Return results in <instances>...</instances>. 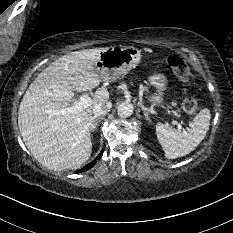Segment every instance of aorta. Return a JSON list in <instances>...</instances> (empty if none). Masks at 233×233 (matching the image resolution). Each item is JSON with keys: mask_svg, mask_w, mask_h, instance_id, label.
I'll use <instances>...</instances> for the list:
<instances>
[{"mask_svg": "<svg viewBox=\"0 0 233 233\" xmlns=\"http://www.w3.org/2000/svg\"><path fill=\"white\" fill-rule=\"evenodd\" d=\"M117 112L122 118L129 117L133 113V105L130 102H123L118 106Z\"/></svg>", "mask_w": 233, "mask_h": 233, "instance_id": "aorta-1", "label": "aorta"}]
</instances>
